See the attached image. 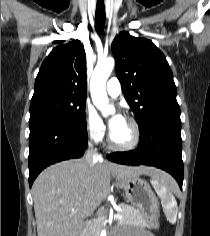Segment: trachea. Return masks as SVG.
<instances>
[{
  "label": "trachea",
  "mask_w": 210,
  "mask_h": 236,
  "mask_svg": "<svg viewBox=\"0 0 210 236\" xmlns=\"http://www.w3.org/2000/svg\"><path fill=\"white\" fill-rule=\"evenodd\" d=\"M95 21H96V27L99 33H102L105 27V6H104L103 1L97 2Z\"/></svg>",
  "instance_id": "1"
}]
</instances>
